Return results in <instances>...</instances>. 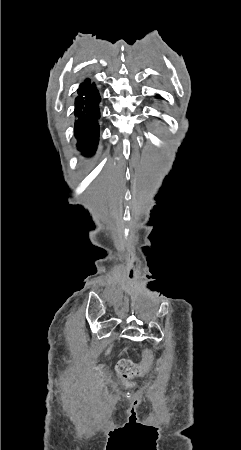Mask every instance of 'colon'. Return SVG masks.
<instances>
[{"mask_svg": "<svg viewBox=\"0 0 241 450\" xmlns=\"http://www.w3.org/2000/svg\"><path fill=\"white\" fill-rule=\"evenodd\" d=\"M150 347L147 346L143 351H142V356L144 357L142 359V363L141 364H137L136 361H131L130 363H128L127 361H120L119 364H117L115 366V369L117 371H121L123 374H125L126 372L129 374H131L132 372L135 375H144L146 373L145 368L151 365V351H150ZM106 374L109 372L107 369L104 371Z\"/></svg>", "mask_w": 241, "mask_h": 450, "instance_id": "obj_1", "label": "colon"}]
</instances>
